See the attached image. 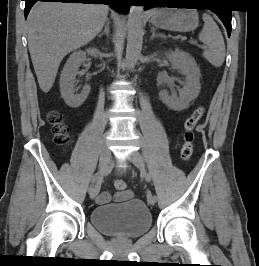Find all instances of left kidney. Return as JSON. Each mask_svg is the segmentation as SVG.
<instances>
[{"mask_svg":"<svg viewBox=\"0 0 259 266\" xmlns=\"http://www.w3.org/2000/svg\"><path fill=\"white\" fill-rule=\"evenodd\" d=\"M167 59L171 62L174 69H178L185 76V84L179 93V96L169 95L166 90L159 93L160 100L168 106V108L181 111L189 107L191 101L199 95L200 85V69L195 59L187 52L175 49L165 53Z\"/></svg>","mask_w":259,"mask_h":266,"instance_id":"5707ae66","label":"left kidney"}]
</instances>
